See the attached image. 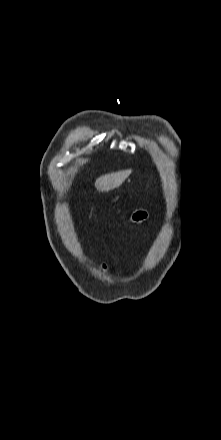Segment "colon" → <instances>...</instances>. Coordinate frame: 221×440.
<instances>
[{
	"label": "colon",
	"instance_id": "1",
	"mask_svg": "<svg viewBox=\"0 0 221 440\" xmlns=\"http://www.w3.org/2000/svg\"><path fill=\"white\" fill-rule=\"evenodd\" d=\"M133 220L138 222L141 221L143 219L146 218V212L143 210H137L134 214H133Z\"/></svg>",
	"mask_w": 221,
	"mask_h": 440
}]
</instances>
